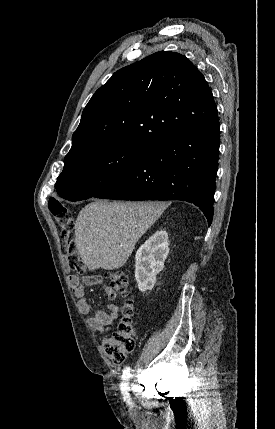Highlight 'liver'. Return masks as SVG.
<instances>
[{"mask_svg": "<svg viewBox=\"0 0 275 429\" xmlns=\"http://www.w3.org/2000/svg\"><path fill=\"white\" fill-rule=\"evenodd\" d=\"M165 208L161 202L106 200H97L82 208L75 223V243L88 269L122 267L137 241Z\"/></svg>", "mask_w": 275, "mask_h": 429, "instance_id": "6515ba94", "label": "liver"}]
</instances>
